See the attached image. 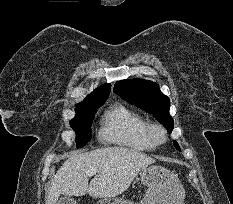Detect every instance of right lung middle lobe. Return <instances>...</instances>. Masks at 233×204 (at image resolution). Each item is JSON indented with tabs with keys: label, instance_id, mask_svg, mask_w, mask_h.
Here are the masks:
<instances>
[{
	"label": "right lung middle lobe",
	"instance_id": "1",
	"mask_svg": "<svg viewBox=\"0 0 233 204\" xmlns=\"http://www.w3.org/2000/svg\"><path fill=\"white\" fill-rule=\"evenodd\" d=\"M104 102L94 104L85 109H75L76 116L70 121V126L76 132V147L85 146L91 139V120L94 117L97 108Z\"/></svg>",
	"mask_w": 233,
	"mask_h": 204
}]
</instances>
